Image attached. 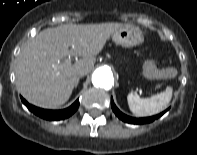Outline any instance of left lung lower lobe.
Here are the masks:
<instances>
[{"instance_id": "obj_1", "label": "left lung lower lobe", "mask_w": 197, "mask_h": 155, "mask_svg": "<svg viewBox=\"0 0 197 155\" xmlns=\"http://www.w3.org/2000/svg\"><path fill=\"white\" fill-rule=\"evenodd\" d=\"M111 107H112V110L114 111V113L116 114V116L121 119L122 121L124 122H127V123H131V124H145V123H150V122H153L155 119H158L159 117H161L166 111L158 114V115H155V116H152V117H146V118H133V117H130V116H127L125 114H123L117 107L116 105L114 104L113 102V99L111 98Z\"/></svg>"}]
</instances>
